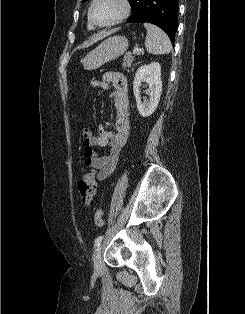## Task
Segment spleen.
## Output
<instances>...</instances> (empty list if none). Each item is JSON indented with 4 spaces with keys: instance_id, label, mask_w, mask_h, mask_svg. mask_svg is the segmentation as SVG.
I'll use <instances>...</instances> for the list:
<instances>
[{
    "instance_id": "3e777b00",
    "label": "spleen",
    "mask_w": 245,
    "mask_h": 314,
    "mask_svg": "<svg viewBox=\"0 0 245 314\" xmlns=\"http://www.w3.org/2000/svg\"><path fill=\"white\" fill-rule=\"evenodd\" d=\"M144 27L147 30L145 39L147 52L153 55L170 53L172 46L167 34L159 27L150 23H144Z\"/></svg>"
}]
</instances>
